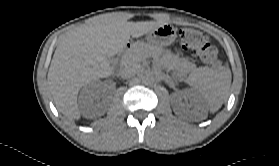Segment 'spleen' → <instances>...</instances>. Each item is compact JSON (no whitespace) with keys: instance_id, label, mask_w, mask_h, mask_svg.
Segmentation results:
<instances>
[{"instance_id":"1","label":"spleen","mask_w":279,"mask_h":166,"mask_svg":"<svg viewBox=\"0 0 279 166\" xmlns=\"http://www.w3.org/2000/svg\"><path fill=\"white\" fill-rule=\"evenodd\" d=\"M186 81L203 99L206 108L215 112L229 96L231 73L228 69L217 73L208 67H200L193 70Z\"/></svg>"}]
</instances>
